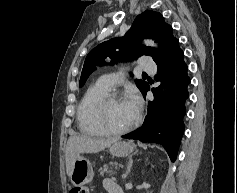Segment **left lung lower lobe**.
Masks as SVG:
<instances>
[{
	"label": "left lung lower lobe",
	"instance_id": "left-lung-lower-lobe-1",
	"mask_svg": "<svg viewBox=\"0 0 237 193\" xmlns=\"http://www.w3.org/2000/svg\"><path fill=\"white\" fill-rule=\"evenodd\" d=\"M156 64L158 72L155 80L161 84L152 88L154 100L149 102L144 123L136 131L122 137L161 144L174 162L184 133L183 116L186 112L185 100L188 98L187 86L190 83L178 40ZM149 89L147 83L142 91L144 97Z\"/></svg>",
	"mask_w": 237,
	"mask_h": 193
}]
</instances>
